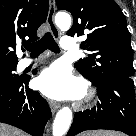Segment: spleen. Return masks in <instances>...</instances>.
<instances>
[{"mask_svg": "<svg viewBox=\"0 0 136 136\" xmlns=\"http://www.w3.org/2000/svg\"><path fill=\"white\" fill-rule=\"evenodd\" d=\"M83 136H121V135L110 131H93V132H88Z\"/></svg>", "mask_w": 136, "mask_h": 136, "instance_id": "obj_1", "label": "spleen"}]
</instances>
